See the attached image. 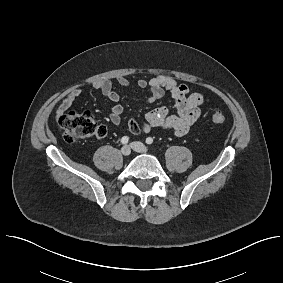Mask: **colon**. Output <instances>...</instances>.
I'll use <instances>...</instances> for the list:
<instances>
[{
	"label": "colon",
	"instance_id": "1",
	"mask_svg": "<svg viewBox=\"0 0 283 283\" xmlns=\"http://www.w3.org/2000/svg\"><path fill=\"white\" fill-rule=\"evenodd\" d=\"M214 124H223L226 117L216 112L211 117ZM59 128L64 139L73 143L81 139L92 137H103L106 134V128L99 124L96 118L87 112L71 111L63 114L58 120Z\"/></svg>",
	"mask_w": 283,
	"mask_h": 283
}]
</instances>
